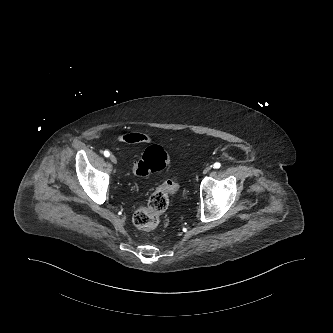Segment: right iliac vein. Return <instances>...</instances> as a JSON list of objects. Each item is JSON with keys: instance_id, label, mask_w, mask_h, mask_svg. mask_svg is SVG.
<instances>
[{"instance_id": "63e3f726", "label": "right iliac vein", "mask_w": 333, "mask_h": 333, "mask_svg": "<svg viewBox=\"0 0 333 333\" xmlns=\"http://www.w3.org/2000/svg\"><path fill=\"white\" fill-rule=\"evenodd\" d=\"M110 160L113 164H116L117 163V158L114 156V155H111L110 156Z\"/></svg>"}]
</instances>
